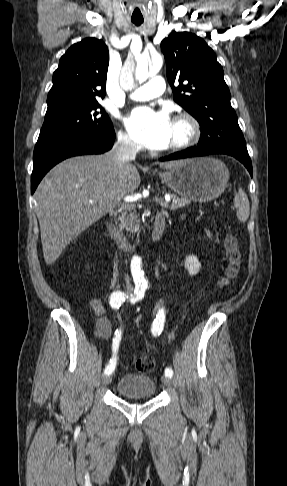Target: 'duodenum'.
Masks as SVG:
<instances>
[{
	"label": "duodenum",
	"mask_w": 287,
	"mask_h": 486,
	"mask_svg": "<svg viewBox=\"0 0 287 486\" xmlns=\"http://www.w3.org/2000/svg\"><path fill=\"white\" fill-rule=\"evenodd\" d=\"M165 223V217L162 214L156 216L152 232L153 241H158L162 237ZM107 230L122 250L131 251L134 249V246L128 241L123 232L116 228L112 223H107Z\"/></svg>",
	"instance_id": "duodenum-1"
}]
</instances>
